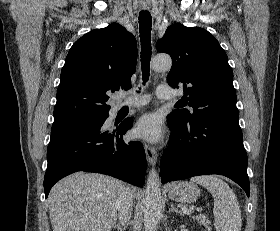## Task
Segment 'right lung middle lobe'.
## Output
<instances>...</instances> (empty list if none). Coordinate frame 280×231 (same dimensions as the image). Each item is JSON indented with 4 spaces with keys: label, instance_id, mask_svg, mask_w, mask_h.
<instances>
[{
    "label": "right lung middle lobe",
    "instance_id": "obj_1",
    "mask_svg": "<svg viewBox=\"0 0 280 231\" xmlns=\"http://www.w3.org/2000/svg\"><path fill=\"white\" fill-rule=\"evenodd\" d=\"M108 116V113L107 114H103V115H99V116H95V117H91V118H88L90 120H99V119H104ZM87 120V119H85Z\"/></svg>",
    "mask_w": 280,
    "mask_h": 231
}]
</instances>
